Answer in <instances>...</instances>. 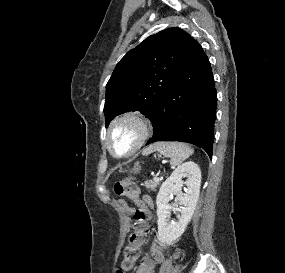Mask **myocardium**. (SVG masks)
<instances>
[{"label": "myocardium", "instance_id": "myocardium-1", "mask_svg": "<svg viewBox=\"0 0 285 273\" xmlns=\"http://www.w3.org/2000/svg\"><path fill=\"white\" fill-rule=\"evenodd\" d=\"M133 122L138 127V138L129 151L124 154H117L111 145V136L115 128L123 122ZM152 133V124L147 117L136 111L124 112L116 116L108 125L105 134V145L109 153L116 158H128L134 155L150 138Z\"/></svg>", "mask_w": 285, "mask_h": 273}]
</instances>
